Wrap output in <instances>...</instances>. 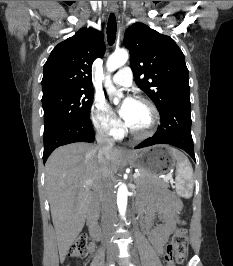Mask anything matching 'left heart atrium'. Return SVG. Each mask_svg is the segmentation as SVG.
<instances>
[{"label": "left heart atrium", "mask_w": 233, "mask_h": 266, "mask_svg": "<svg viewBox=\"0 0 233 266\" xmlns=\"http://www.w3.org/2000/svg\"><path fill=\"white\" fill-rule=\"evenodd\" d=\"M137 101L133 98H126L119 110V114L127 126H131L134 120V113Z\"/></svg>", "instance_id": "1"}]
</instances>
